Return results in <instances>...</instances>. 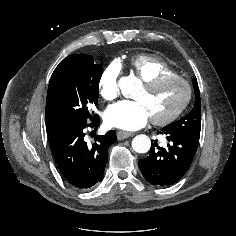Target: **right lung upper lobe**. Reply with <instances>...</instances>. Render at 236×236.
Masks as SVG:
<instances>
[{
    "instance_id": "right-lung-upper-lobe-1",
    "label": "right lung upper lobe",
    "mask_w": 236,
    "mask_h": 236,
    "mask_svg": "<svg viewBox=\"0 0 236 236\" xmlns=\"http://www.w3.org/2000/svg\"><path fill=\"white\" fill-rule=\"evenodd\" d=\"M62 62H64V61H62ZM62 62L60 64H62ZM45 119H46L47 131H48L49 135L52 133L60 134L63 132V127L59 124V122L57 121V118L55 117L53 112L48 107H46Z\"/></svg>"
}]
</instances>
